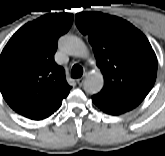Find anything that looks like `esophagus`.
<instances>
[{
  "label": "esophagus",
  "instance_id": "1",
  "mask_svg": "<svg viewBox=\"0 0 165 156\" xmlns=\"http://www.w3.org/2000/svg\"><path fill=\"white\" fill-rule=\"evenodd\" d=\"M83 83H84V79H83V78L77 79V84H78L79 86H82Z\"/></svg>",
  "mask_w": 165,
  "mask_h": 156
}]
</instances>
